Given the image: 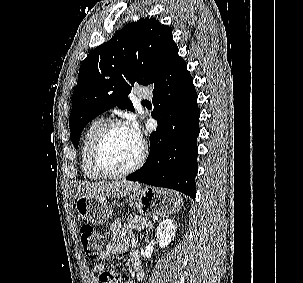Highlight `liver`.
<instances>
[{
	"label": "liver",
	"instance_id": "1",
	"mask_svg": "<svg viewBox=\"0 0 303 283\" xmlns=\"http://www.w3.org/2000/svg\"><path fill=\"white\" fill-rule=\"evenodd\" d=\"M140 184L137 182L119 180L111 182H80L76 192V197H113L120 198L126 196L132 191L138 190Z\"/></svg>",
	"mask_w": 303,
	"mask_h": 283
}]
</instances>
